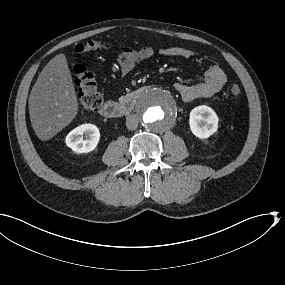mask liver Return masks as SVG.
Returning <instances> with one entry per match:
<instances>
[{
  "label": "liver",
  "instance_id": "1",
  "mask_svg": "<svg viewBox=\"0 0 285 285\" xmlns=\"http://www.w3.org/2000/svg\"><path fill=\"white\" fill-rule=\"evenodd\" d=\"M78 102L64 54L51 59L38 76L29 96V114L37 137L49 140L77 115Z\"/></svg>",
  "mask_w": 285,
  "mask_h": 285
}]
</instances>
